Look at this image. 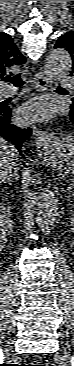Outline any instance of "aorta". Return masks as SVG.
<instances>
[{"label": "aorta", "instance_id": "aorta-1", "mask_svg": "<svg viewBox=\"0 0 74 366\" xmlns=\"http://www.w3.org/2000/svg\"><path fill=\"white\" fill-rule=\"evenodd\" d=\"M72 58L64 48L50 51L46 59L45 70L51 82L60 80L71 68ZM37 224L44 235H49L58 216V202L53 191L45 188L37 203Z\"/></svg>", "mask_w": 74, "mask_h": 366}]
</instances>
